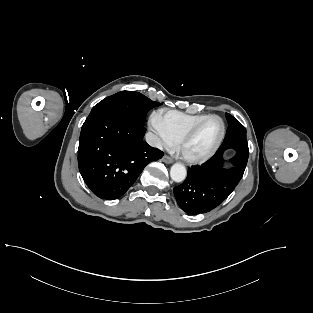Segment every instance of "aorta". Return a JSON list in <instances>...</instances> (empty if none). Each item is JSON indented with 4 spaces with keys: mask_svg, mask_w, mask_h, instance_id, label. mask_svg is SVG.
I'll list each match as a JSON object with an SVG mask.
<instances>
[{
    "mask_svg": "<svg viewBox=\"0 0 313 313\" xmlns=\"http://www.w3.org/2000/svg\"><path fill=\"white\" fill-rule=\"evenodd\" d=\"M187 171L181 163H175L170 170V176L175 182H182L185 180Z\"/></svg>",
    "mask_w": 313,
    "mask_h": 313,
    "instance_id": "762f6f07",
    "label": "aorta"
}]
</instances>
